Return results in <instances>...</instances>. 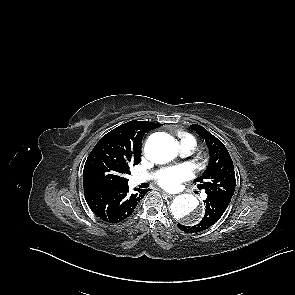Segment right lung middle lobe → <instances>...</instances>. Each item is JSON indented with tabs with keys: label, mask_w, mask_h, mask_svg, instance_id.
<instances>
[{
	"label": "right lung middle lobe",
	"mask_w": 295,
	"mask_h": 295,
	"mask_svg": "<svg viewBox=\"0 0 295 295\" xmlns=\"http://www.w3.org/2000/svg\"><path fill=\"white\" fill-rule=\"evenodd\" d=\"M140 162L132 154L110 141H99L89 154L83 171V187H120L127 184L129 167Z\"/></svg>",
	"instance_id": "right-lung-middle-lobe-1"
}]
</instances>
